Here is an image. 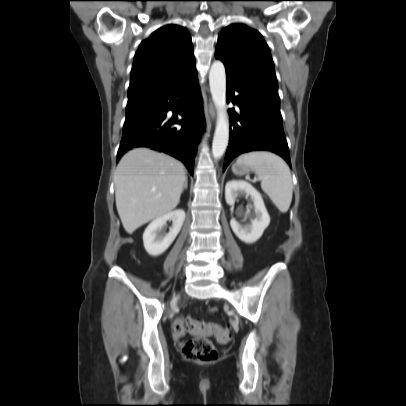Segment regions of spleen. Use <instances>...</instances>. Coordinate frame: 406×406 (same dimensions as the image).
Listing matches in <instances>:
<instances>
[{
    "instance_id": "3e777b00",
    "label": "spleen",
    "mask_w": 406,
    "mask_h": 406,
    "mask_svg": "<svg viewBox=\"0 0 406 406\" xmlns=\"http://www.w3.org/2000/svg\"><path fill=\"white\" fill-rule=\"evenodd\" d=\"M237 162L254 169L261 180L262 190L280 212L286 213L292 201L293 184L290 169L285 161L270 152L254 151L239 156Z\"/></svg>"
}]
</instances>
